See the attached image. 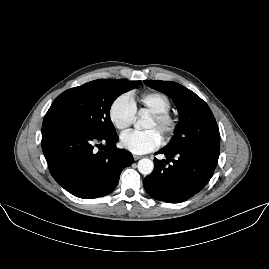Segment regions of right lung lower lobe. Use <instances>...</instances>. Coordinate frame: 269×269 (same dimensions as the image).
<instances>
[{"instance_id":"1","label":"right lung lower lobe","mask_w":269,"mask_h":269,"mask_svg":"<svg viewBox=\"0 0 269 269\" xmlns=\"http://www.w3.org/2000/svg\"><path fill=\"white\" fill-rule=\"evenodd\" d=\"M105 144L96 153L93 142ZM118 136L95 135L70 119L46 114L42 125V150L53 178L65 190L84 199L111 193L133 156L115 143Z\"/></svg>"}]
</instances>
